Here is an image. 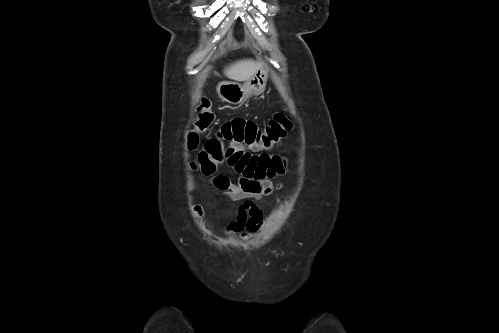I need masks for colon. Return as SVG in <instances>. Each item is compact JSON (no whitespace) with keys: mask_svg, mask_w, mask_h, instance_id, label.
I'll use <instances>...</instances> for the list:
<instances>
[{"mask_svg":"<svg viewBox=\"0 0 499 333\" xmlns=\"http://www.w3.org/2000/svg\"><path fill=\"white\" fill-rule=\"evenodd\" d=\"M199 111L200 114L196 122V129L187 135V146L190 150L195 149L198 145L197 131L207 129L214 118L209 110V103L206 100L202 101ZM290 128L291 122L288 117L282 112L276 113L263 129L261 147L272 149L286 136ZM225 159L224 142L218 137H213L206 142L204 148L198 153L197 159L192 163V166L205 175H211Z\"/></svg>","mask_w":499,"mask_h":333,"instance_id":"colon-1","label":"colon"}]
</instances>
